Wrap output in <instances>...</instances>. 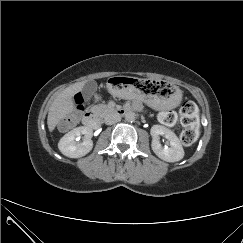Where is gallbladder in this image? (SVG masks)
Masks as SVG:
<instances>
[{
    "label": "gallbladder",
    "instance_id": "gallbladder-1",
    "mask_svg": "<svg viewBox=\"0 0 243 243\" xmlns=\"http://www.w3.org/2000/svg\"><path fill=\"white\" fill-rule=\"evenodd\" d=\"M97 90V83L95 81H88L85 83L82 89L83 96L86 100H89Z\"/></svg>",
    "mask_w": 243,
    "mask_h": 243
}]
</instances>
